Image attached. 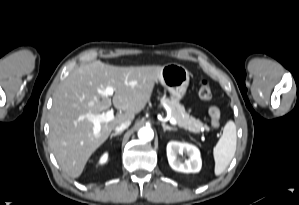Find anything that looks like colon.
<instances>
[{"mask_svg":"<svg viewBox=\"0 0 299 205\" xmlns=\"http://www.w3.org/2000/svg\"><path fill=\"white\" fill-rule=\"evenodd\" d=\"M199 97L203 100H209L212 98V90L208 80L202 79L199 83ZM211 124L214 129H217L220 125V113L217 108L210 110Z\"/></svg>","mask_w":299,"mask_h":205,"instance_id":"colon-1","label":"colon"}]
</instances>
